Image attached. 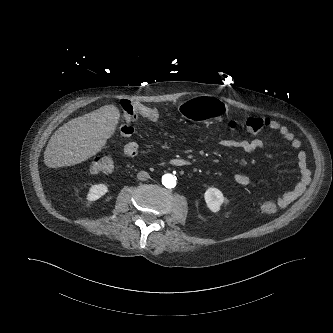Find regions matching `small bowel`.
Returning a JSON list of instances; mask_svg holds the SVG:
<instances>
[{"mask_svg":"<svg viewBox=\"0 0 333 333\" xmlns=\"http://www.w3.org/2000/svg\"><path fill=\"white\" fill-rule=\"evenodd\" d=\"M134 106H143L141 104H134ZM268 128L270 130L278 132L281 137L288 142V144L295 150H297V163L300 169L301 178L297 185L277 197V203L280 208L287 207L291 202H293L303 191L305 183L308 178V166H307V156L304 151L299 150L301 147L300 140L294 135V133L284 124L277 120H269ZM219 145L227 149H235L242 153H253L256 151H261L266 148V145L262 139H222L219 141ZM120 151L122 155L126 157H132L136 155L138 151V146L134 142H126L122 144ZM234 180L238 185L246 186L250 183V179L245 174H236Z\"/></svg>","mask_w":333,"mask_h":333,"instance_id":"obj_1","label":"small bowel"}]
</instances>
